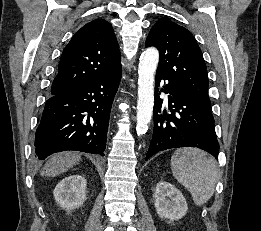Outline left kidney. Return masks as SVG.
I'll return each mask as SVG.
<instances>
[{
	"label": "left kidney",
	"instance_id": "left-kidney-1",
	"mask_svg": "<svg viewBox=\"0 0 261 231\" xmlns=\"http://www.w3.org/2000/svg\"><path fill=\"white\" fill-rule=\"evenodd\" d=\"M154 206L162 219H169L170 221L181 219L188 210L182 193L175 186L165 181L156 185Z\"/></svg>",
	"mask_w": 261,
	"mask_h": 231
}]
</instances>
